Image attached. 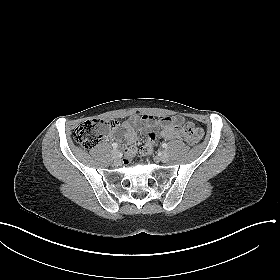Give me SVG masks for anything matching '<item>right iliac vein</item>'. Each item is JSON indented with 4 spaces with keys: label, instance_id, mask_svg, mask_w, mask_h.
<instances>
[{
    "label": "right iliac vein",
    "instance_id": "obj_1",
    "mask_svg": "<svg viewBox=\"0 0 280 280\" xmlns=\"http://www.w3.org/2000/svg\"><path fill=\"white\" fill-rule=\"evenodd\" d=\"M112 157L115 162H118L120 160V152L117 149L112 150Z\"/></svg>",
    "mask_w": 280,
    "mask_h": 280
}]
</instances>
